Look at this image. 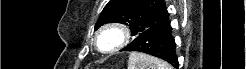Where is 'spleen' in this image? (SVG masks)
<instances>
[{"instance_id":"3e777b00","label":"spleen","mask_w":246,"mask_h":69,"mask_svg":"<svg viewBox=\"0 0 246 69\" xmlns=\"http://www.w3.org/2000/svg\"><path fill=\"white\" fill-rule=\"evenodd\" d=\"M128 69H172L167 62L140 52L129 55Z\"/></svg>"}]
</instances>
